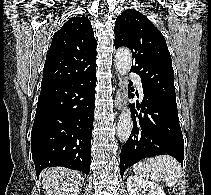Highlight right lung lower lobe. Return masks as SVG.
Masks as SVG:
<instances>
[{
  "label": "right lung lower lobe",
  "instance_id": "right-lung-lower-lobe-1",
  "mask_svg": "<svg viewBox=\"0 0 211 195\" xmlns=\"http://www.w3.org/2000/svg\"><path fill=\"white\" fill-rule=\"evenodd\" d=\"M96 67L41 86L31 133L36 174L61 166L90 172Z\"/></svg>",
  "mask_w": 211,
  "mask_h": 195
}]
</instances>
